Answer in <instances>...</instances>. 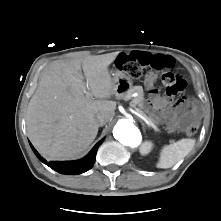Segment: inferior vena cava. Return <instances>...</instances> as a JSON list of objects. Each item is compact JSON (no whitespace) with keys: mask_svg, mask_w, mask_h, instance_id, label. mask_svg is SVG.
I'll list each match as a JSON object with an SVG mask.
<instances>
[{"mask_svg":"<svg viewBox=\"0 0 221 221\" xmlns=\"http://www.w3.org/2000/svg\"><path fill=\"white\" fill-rule=\"evenodd\" d=\"M96 122L99 126H104L106 123H108V118L102 114H98L96 116Z\"/></svg>","mask_w":221,"mask_h":221,"instance_id":"1","label":"inferior vena cava"}]
</instances>
